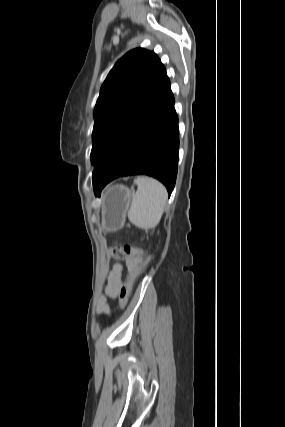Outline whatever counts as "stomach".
I'll return each instance as SVG.
<instances>
[{
  "label": "stomach",
  "instance_id": "obj_1",
  "mask_svg": "<svg viewBox=\"0 0 285 427\" xmlns=\"http://www.w3.org/2000/svg\"><path fill=\"white\" fill-rule=\"evenodd\" d=\"M132 192L123 185L110 187L102 197V226L106 231L123 227Z\"/></svg>",
  "mask_w": 285,
  "mask_h": 427
}]
</instances>
